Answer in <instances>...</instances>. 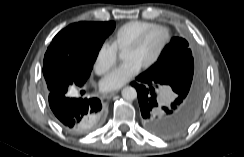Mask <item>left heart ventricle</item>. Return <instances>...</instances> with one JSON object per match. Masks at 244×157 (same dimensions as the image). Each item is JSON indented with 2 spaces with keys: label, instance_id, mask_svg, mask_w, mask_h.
<instances>
[{
  "label": "left heart ventricle",
  "instance_id": "left-heart-ventricle-1",
  "mask_svg": "<svg viewBox=\"0 0 244 157\" xmlns=\"http://www.w3.org/2000/svg\"><path fill=\"white\" fill-rule=\"evenodd\" d=\"M165 39V34L162 31H154L151 33L140 47L134 50H125L123 59L134 60L140 66L150 61L159 51Z\"/></svg>",
  "mask_w": 244,
  "mask_h": 157
}]
</instances>
